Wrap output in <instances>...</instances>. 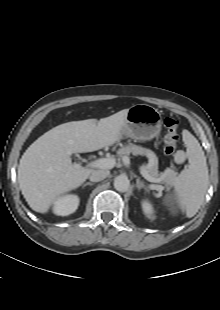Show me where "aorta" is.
<instances>
[{"label":"aorta","instance_id":"aorta-1","mask_svg":"<svg viewBox=\"0 0 220 310\" xmlns=\"http://www.w3.org/2000/svg\"><path fill=\"white\" fill-rule=\"evenodd\" d=\"M130 181L127 176L120 175L114 179V188L119 192H126L129 189Z\"/></svg>","mask_w":220,"mask_h":310}]
</instances>
